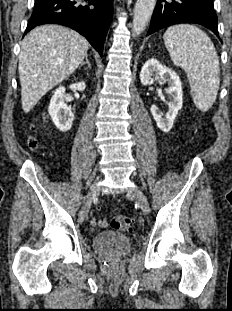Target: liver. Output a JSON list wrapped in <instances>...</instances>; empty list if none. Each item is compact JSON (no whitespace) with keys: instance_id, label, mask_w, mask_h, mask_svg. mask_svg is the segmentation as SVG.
<instances>
[{"instance_id":"6515ba94","label":"liver","mask_w":232,"mask_h":311,"mask_svg":"<svg viewBox=\"0 0 232 311\" xmlns=\"http://www.w3.org/2000/svg\"><path fill=\"white\" fill-rule=\"evenodd\" d=\"M88 49V41L69 28L44 25L32 30L23 39L19 57L23 111L30 112L43 95L73 73Z\"/></svg>"}]
</instances>
